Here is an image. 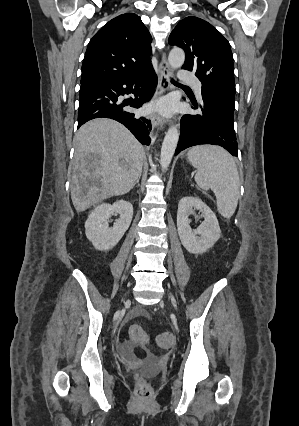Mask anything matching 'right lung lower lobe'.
<instances>
[{"label": "right lung lower lobe", "mask_w": 299, "mask_h": 426, "mask_svg": "<svg viewBox=\"0 0 299 426\" xmlns=\"http://www.w3.org/2000/svg\"><path fill=\"white\" fill-rule=\"evenodd\" d=\"M157 77L153 67L112 82H90L80 87L78 128L99 117L114 119L126 126L143 145H149L151 122L138 117L133 108H140L154 93ZM134 86V90L132 89ZM133 93L134 98L122 100L121 95Z\"/></svg>", "instance_id": "1"}]
</instances>
